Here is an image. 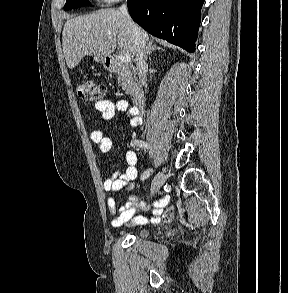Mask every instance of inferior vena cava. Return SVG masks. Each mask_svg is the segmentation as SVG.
<instances>
[{
	"label": "inferior vena cava",
	"mask_w": 288,
	"mask_h": 293,
	"mask_svg": "<svg viewBox=\"0 0 288 293\" xmlns=\"http://www.w3.org/2000/svg\"><path fill=\"white\" fill-rule=\"evenodd\" d=\"M120 13L126 18L129 27L131 29L134 43H135V50H136V66L138 70V76L141 84L143 86H147V63L145 61V43L141 34L140 28L133 22L131 19L126 3H123L120 7Z\"/></svg>",
	"instance_id": "1"
}]
</instances>
